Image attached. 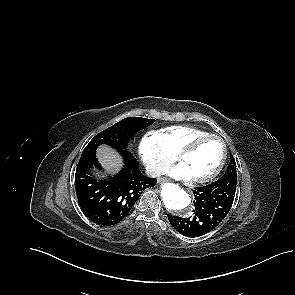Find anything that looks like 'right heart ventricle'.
<instances>
[{"mask_svg": "<svg viewBox=\"0 0 295 295\" xmlns=\"http://www.w3.org/2000/svg\"><path fill=\"white\" fill-rule=\"evenodd\" d=\"M157 133L160 136L164 147L170 153L176 155L177 152L190 140L197 136L208 134L209 132L193 126L173 125L165 127Z\"/></svg>", "mask_w": 295, "mask_h": 295, "instance_id": "e07e8e85", "label": "right heart ventricle"}]
</instances>
